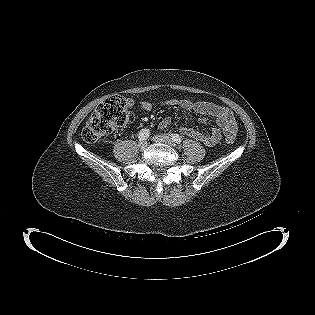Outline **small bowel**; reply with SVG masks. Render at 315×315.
<instances>
[{"label": "small bowel", "mask_w": 315, "mask_h": 315, "mask_svg": "<svg viewBox=\"0 0 315 315\" xmlns=\"http://www.w3.org/2000/svg\"><path fill=\"white\" fill-rule=\"evenodd\" d=\"M162 106L167 107H180L184 110L193 111L200 114L201 124H206L209 121V117H213L216 120L217 127L211 129L208 133H201L194 128L182 127L181 132L196 140L201 141L206 146L215 145L222 137V134L225 136H230L235 138L237 133V121L234 114L229 109L214 104L207 101H194L191 99H168L160 103ZM134 105V100L132 98L127 99V107L131 108ZM140 107L144 111H151L153 104L148 100H142L140 102ZM171 124V118L165 117L161 120L159 127L166 128Z\"/></svg>", "instance_id": "1"}]
</instances>
